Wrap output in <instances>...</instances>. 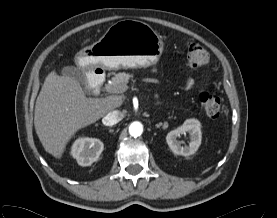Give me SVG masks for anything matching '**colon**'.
<instances>
[{
  "label": "colon",
  "mask_w": 277,
  "mask_h": 218,
  "mask_svg": "<svg viewBox=\"0 0 277 218\" xmlns=\"http://www.w3.org/2000/svg\"><path fill=\"white\" fill-rule=\"evenodd\" d=\"M187 62L192 68L201 67L208 62V53L200 45L192 44L187 52ZM200 102L209 117H219L222 109V100L219 96L203 92L200 94Z\"/></svg>",
  "instance_id": "1"
}]
</instances>
